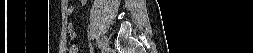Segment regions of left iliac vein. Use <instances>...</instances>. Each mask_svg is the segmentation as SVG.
I'll list each match as a JSON object with an SVG mask.
<instances>
[{
  "mask_svg": "<svg viewBox=\"0 0 253 53\" xmlns=\"http://www.w3.org/2000/svg\"><path fill=\"white\" fill-rule=\"evenodd\" d=\"M101 41L103 42L102 47H103V52H104L108 49L109 39L107 37L103 36Z\"/></svg>",
  "mask_w": 253,
  "mask_h": 53,
  "instance_id": "left-iliac-vein-1",
  "label": "left iliac vein"
}]
</instances>
